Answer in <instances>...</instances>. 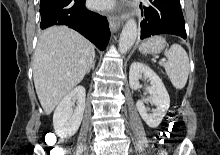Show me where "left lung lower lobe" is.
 <instances>
[{"label": "left lung lower lobe", "instance_id": "obj_1", "mask_svg": "<svg viewBox=\"0 0 220 155\" xmlns=\"http://www.w3.org/2000/svg\"><path fill=\"white\" fill-rule=\"evenodd\" d=\"M148 3V7L144 6L141 39L160 34L187 37L179 0H148Z\"/></svg>", "mask_w": 220, "mask_h": 155}]
</instances>
